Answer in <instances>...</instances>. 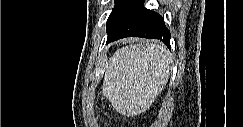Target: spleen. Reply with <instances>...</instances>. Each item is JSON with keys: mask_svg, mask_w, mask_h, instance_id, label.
Instances as JSON below:
<instances>
[{"mask_svg": "<svg viewBox=\"0 0 243 127\" xmlns=\"http://www.w3.org/2000/svg\"><path fill=\"white\" fill-rule=\"evenodd\" d=\"M170 54L161 44H131L106 63L102 93L121 114L147 108L167 83Z\"/></svg>", "mask_w": 243, "mask_h": 127, "instance_id": "1", "label": "spleen"}]
</instances>
